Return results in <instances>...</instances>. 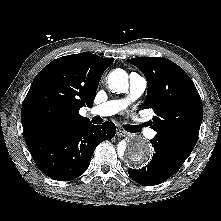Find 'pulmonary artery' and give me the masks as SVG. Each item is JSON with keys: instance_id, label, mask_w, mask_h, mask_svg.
Here are the masks:
<instances>
[{"instance_id": "1", "label": "pulmonary artery", "mask_w": 221, "mask_h": 221, "mask_svg": "<svg viewBox=\"0 0 221 221\" xmlns=\"http://www.w3.org/2000/svg\"><path fill=\"white\" fill-rule=\"evenodd\" d=\"M146 88L147 80L145 77L133 72L129 75V92L126 98L104 102L95 106L91 112L101 117L112 116L125 109L130 103L141 97ZM137 126L139 127L141 134L145 137L152 138L156 135V132L153 129L145 126L143 123H140Z\"/></svg>"}]
</instances>
